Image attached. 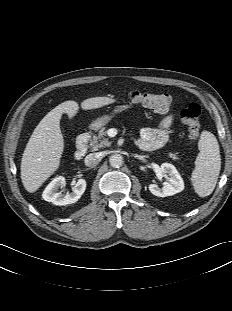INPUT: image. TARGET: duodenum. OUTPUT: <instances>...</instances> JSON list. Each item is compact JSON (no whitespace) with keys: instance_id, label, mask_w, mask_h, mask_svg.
Wrapping results in <instances>:
<instances>
[{"instance_id":"1","label":"duodenum","mask_w":232,"mask_h":311,"mask_svg":"<svg viewBox=\"0 0 232 311\" xmlns=\"http://www.w3.org/2000/svg\"><path fill=\"white\" fill-rule=\"evenodd\" d=\"M88 139H89L88 133H82L77 137L76 150L74 152V159L76 161L82 160L87 154Z\"/></svg>"}]
</instances>
